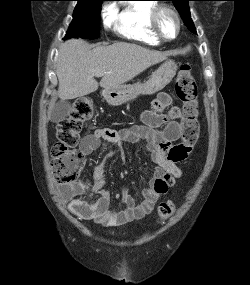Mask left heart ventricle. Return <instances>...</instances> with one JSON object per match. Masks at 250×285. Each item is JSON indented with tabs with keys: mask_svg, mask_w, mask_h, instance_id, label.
I'll list each match as a JSON object with an SVG mask.
<instances>
[{
	"mask_svg": "<svg viewBox=\"0 0 250 285\" xmlns=\"http://www.w3.org/2000/svg\"><path fill=\"white\" fill-rule=\"evenodd\" d=\"M159 28L165 37H173L177 31V23L170 13H163L160 17Z\"/></svg>",
	"mask_w": 250,
	"mask_h": 285,
	"instance_id": "1",
	"label": "left heart ventricle"
}]
</instances>
